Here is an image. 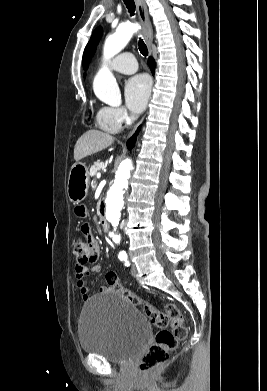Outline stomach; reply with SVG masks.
I'll use <instances>...</instances> for the list:
<instances>
[{
  "instance_id": "obj_1",
  "label": "stomach",
  "mask_w": 267,
  "mask_h": 391,
  "mask_svg": "<svg viewBox=\"0 0 267 391\" xmlns=\"http://www.w3.org/2000/svg\"><path fill=\"white\" fill-rule=\"evenodd\" d=\"M90 177L88 168L83 163H76L71 167L67 181V196L75 204L85 199L88 193Z\"/></svg>"
}]
</instances>
